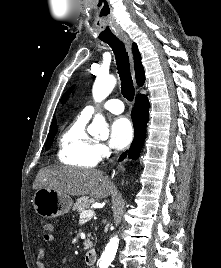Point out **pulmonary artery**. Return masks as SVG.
Listing matches in <instances>:
<instances>
[{
  "mask_svg": "<svg viewBox=\"0 0 221 268\" xmlns=\"http://www.w3.org/2000/svg\"><path fill=\"white\" fill-rule=\"evenodd\" d=\"M101 107L114 114H120L124 111V105L119 99H110L106 101ZM97 109V105H89L83 109L82 114L90 118Z\"/></svg>",
  "mask_w": 221,
  "mask_h": 268,
  "instance_id": "pulmonary-artery-1",
  "label": "pulmonary artery"
}]
</instances>
